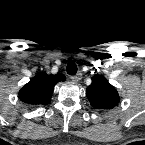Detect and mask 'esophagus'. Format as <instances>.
Wrapping results in <instances>:
<instances>
[{
    "label": "esophagus",
    "mask_w": 145,
    "mask_h": 145,
    "mask_svg": "<svg viewBox=\"0 0 145 145\" xmlns=\"http://www.w3.org/2000/svg\"><path fill=\"white\" fill-rule=\"evenodd\" d=\"M74 82H78L82 78V73L78 72L76 75L70 77Z\"/></svg>",
    "instance_id": "esophagus-1"
}]
</instances>
